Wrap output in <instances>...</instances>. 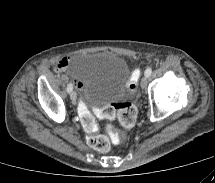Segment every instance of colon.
<instances>
[{
    "mask_svg": "<svg viewBox=\"0 0 215 183\" xmlns=\"http://www.w3.org/2000/svg\"><path fill=\"white\" fill-rule=\"evenodd\" d=\"M94 113L98 117L111 119L115 116L118 117L120 123L125 128L133 126L136 119V108L130 102L119 103L115 105H107L104 107L96 108ZM80 118L83 127L89 132L87 136V143L92 148L98 151H108L111 144H122L126 141L124 134L114 133L110 127L107 128L106 134H97L95 132L94 117L85 109H81Z\"/></svg>",
    "mask_w": 215,
    "mask_h": 183,
    "instance_id": "5ec220e1",
    "label": "colon"
}]
</instances>
